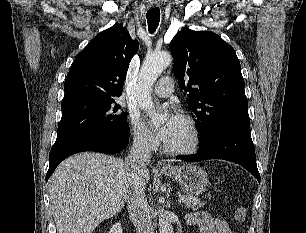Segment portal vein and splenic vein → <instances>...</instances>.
<instances>
[{"label": "portal vein and splenic vein", "mask_w": 306, "mask_h": 233, "mask_svg": "<svg viewBox=\"0 0 306 233\" xmlns=\"http://www.w3.org/2000/svg\"><path fill=\"white\" fill-rule=\"evenodd\" d=\"M179 202L184 203V199L180 197Z\"/></svg>", "instance_id": "portal-vein-and-splenic-vein-1"}]
</instances>
